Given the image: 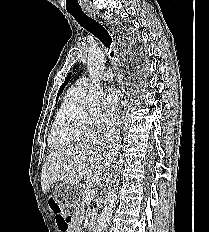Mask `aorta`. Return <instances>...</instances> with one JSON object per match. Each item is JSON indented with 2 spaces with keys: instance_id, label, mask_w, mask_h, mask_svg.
Instances as JSON below:
<instances>
[{
  "instance_id": "obj_1",
  "label": "aorta",
  "mask_w": 209,
  "mask_h": 232,
  "mask_svg": "<svg viewBox=\"0 0 209 232\" xmlns=\"http://www.w3.org/2000/svg\"><path fill=\"white\" fill-rule=\"evenodd\" d=\"M105 67L104 53L100 49H92L89 51L87 59V69L91 77L92 83L88 90L87 96L83 99L81 106L90 111L98 110L100 97L103 95V90L97 81L101 77ZM120 169L117 168L115 176L112 180V188L107 193V205L101 212L97 220L96 232H105L112 217L113 208L116 203L118 185L120 182Z\"/></svg>"
}]
</instances>
